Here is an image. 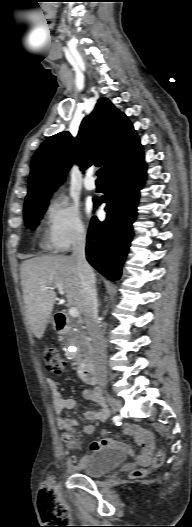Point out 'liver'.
I'll return each mask as SVG.
<instances>
[{
  "label": "liver",
  "instance_id": "liver-1",
  "mask_svg": "<svg viewBox=\"0 0 192 527\" xmlns=\"http://www.w3.org/2000/svg\"><path fill=\"white\" fill-rule=\"evenodd\" d=\"M56 283L63 285L68 305L83 313L82 287L77 263L72 256L43 255L22 263L21 285L27 320L38 339L43 337L53 311Z\"/></svg>",
  "mask_w": 192,
  "mask_h": 527
}]
</instances>
